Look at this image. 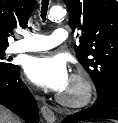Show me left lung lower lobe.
Here are the masks:
<instances>
[{
	"label": "left lung lower lobe",
	"mask_w": 118,
	"mask_h": 123,
	"mask_svg": "<svg viewBox=\"0 0 118 123\" xmlns=\"http://www.w3.org/2000/svg\"><path fill=\"white\" fill-rule=\"evenodd\" d=\"M97 95L98 98L91 107L67 116L62 123H77L97 118L118 120V80L112 81Z\"/></svg>",
	"instance_id": "obj_1"
}]
</instances>
